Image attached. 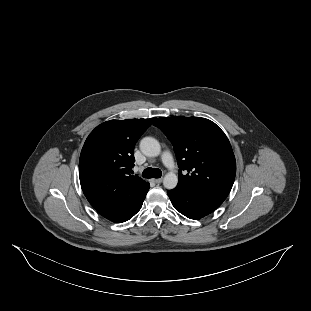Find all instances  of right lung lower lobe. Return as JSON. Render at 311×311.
Segmentation results:
<instances>
[{
  "label": "right lung lower lobe",
  "mask_w": 311,
  "mask_h": 311,
  "mask_svg": "<svg viewBox=\"0 0 311 311\" xmlns=\"http://www.w3.org/2000/svg\"><path fill=\"white\" fill-rule=\"evenodd\" d=\"M148 190H149V189H148ZM147 192H148V191H147ZM147 192H146V193H147ZM145 197H146V194L137 202V204L134 206V208H133V209L130 211V213L128 214L127 219L124 220V221L129 220L132 216H134V215L141 209ZM124 221H123V222H124Z\"/></svg>",
  "instance_id": "98d812e1"
}]
</instances>
